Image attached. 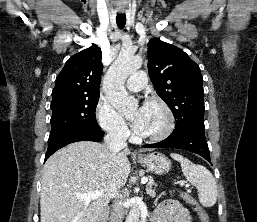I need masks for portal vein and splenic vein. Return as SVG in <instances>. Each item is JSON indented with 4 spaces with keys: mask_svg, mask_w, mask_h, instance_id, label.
<instances>
[{
    "mask_svg": "<svg viewBox=\"0 0 257 222\" xmlns=\"http://www.w3.org/2000/svg\"><path fill=\"white\" fill-rule=\"evenodd\" d=\"M148 179L144 178L142 180L143 183L147 182ZM117 194H110L111 198H115ZM79 198L85 200V201H90V200H94V199H98L99 197H103L104 193L103 191H93L90 193H86V194H78L77 195Z\"/></svg>",
    "mask_w": 257,
    "mask_h": 222,
    "instance_id": "obj_1",
    "label": "portal vein and splenic vein"
}]
</instances>
